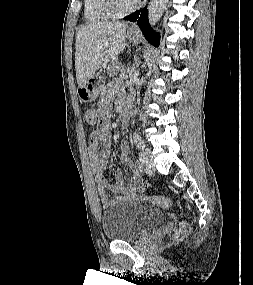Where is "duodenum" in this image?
I'll return each instance as SVG.
<instances>
[{"label":"duodenum","instance_id":"1","mask_svg":"<svg viewBox=\"0 0 253 285\" xmlns=\"http://www.w3.org/2000/svg\"><path fill=\"white\" fill-rule=\"evenodd\" d=\"M130 112H131V99L128 97L123 102V108L120 115V120L122 123H125L128 120Z\"/></svg>","mask_w":253,"mask_h":285}]
</instances>
